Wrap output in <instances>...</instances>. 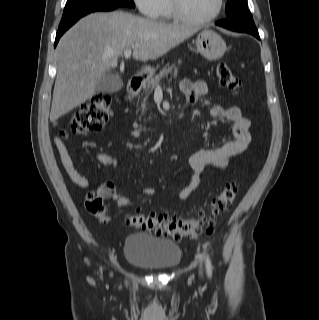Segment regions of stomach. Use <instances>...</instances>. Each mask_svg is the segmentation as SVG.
<instances>
[{
	"mask_svg": "<svg viewBox=\"0 0 319 320\" xmlns=\"http://www.w3.org/2000/svg\"><path fill=\"white\" fill-rule=\"evenodd\" d=\"M196 47L198 52L210 61L220 59L227 50L222 37L211 29H204L199 33L196 39Z\"/></svg>",
	"mask_w": 319,
	"mask_h": 320,
	"instance_id": "obj_1",
	"label": "stomach"
}]
</instances>
